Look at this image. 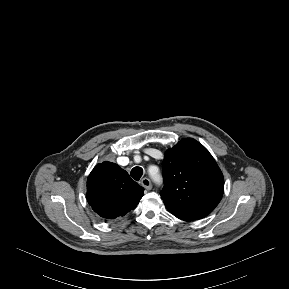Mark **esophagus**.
I'll return each instance as SVG.
<instances>
[{"label":"esophagus","instance_id":"34e87169","mask_svg":"<svg viewBox=\"0 0 289 289\" xmlns=\"http://www.w3.org/2000/svg\"><path fill=\"white\" fill-rule=\"evenodd\" d=\"M141 185L146 189V190H151L152 189V183L150 179L148 178H143L141 180Z\"/></svg>","mask_w":289,"mask_h":289}]
</instances>
